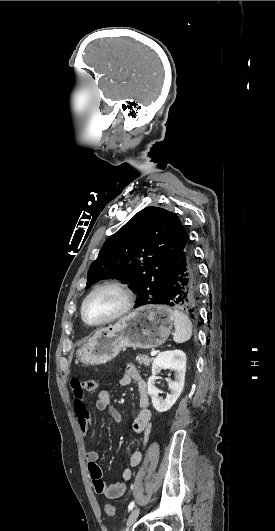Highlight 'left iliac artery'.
Wrapping results in <instances>:
<instances>
[{"instance_id": "1", "label": "left iliac artery", "mask_w": 275, "mask_h": 531, "mask_svg": "<svg viewBox=\"0 0 275 531\" xmlns=\"http://www.w3.org/2000/svg\"><path fill=\"white\" fill-rule=\"evenodd\" d=\"M134 505H135V503H134V501H132V502L129 504V506H128V511H131V510L134 508Z\"/></svg>"}]
</instances>
